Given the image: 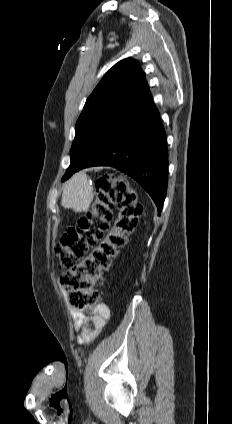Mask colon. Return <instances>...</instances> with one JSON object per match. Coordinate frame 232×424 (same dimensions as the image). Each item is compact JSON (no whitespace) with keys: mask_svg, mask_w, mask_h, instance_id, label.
<instances>
[{"mask_svg":"<svg viewBox=\"0 0 232 424\" xmlns=\"http://www.w3.org/2000/svg\"><path fill=\"white\" fill-rule=\"evenodd\" d=\"M115 203L119 212L110 226ZM142 212L137 191L126 182L107 175L97 180L90 211L63 235L57 249L60 283L71 307L86 311L98 304L102 274L137 228Z\"/></svg>","mask_w":232,"mask_h":424,"instance_id":"5ec220e1","label":"colon"}]
</instances>
